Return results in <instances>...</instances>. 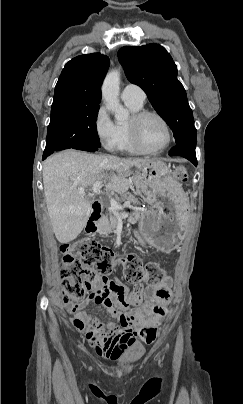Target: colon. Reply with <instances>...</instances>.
I'll return each mask as SVG.
<instances>
[{
	"mask_svg": "<svg viewBox=\"0 0 243 404\" xmlns=\"http://www.w3.org/2000/svg\"><path fill=\"white\" fill-rule=\"evenodd\" d=\"M176 176L187 181V175L179 169ZM63 253V266L60 270L64 300L80 301L86 293L99 282L101 277L111 273L115 268L123 270L124 277L132 283L147 282L160 284L165 273L155 262L144 264L137 255H128L115 259L112 251L93 239H81L72 245L60 247ZM142 300V293L134 291L123 299V305H137Z\"/></svg>",
	"mask_w": 243,
	"mask_h": 404,
	"instance_id": "obj_1",
	"label": "colon"
}]
</instances>
